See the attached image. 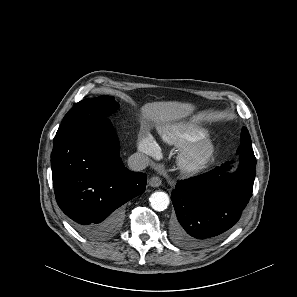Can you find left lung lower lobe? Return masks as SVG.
<instances>
[{
	"label": "left lung lower lobe",
	"mask_w": 297,
	"mask_h": 297,
	"mask_svg": "<svg viewBox=\"0 0 297 297\" xmlns=\"http://www.w3.org/2000/svg\"><path fill=\"white\" fill-rule=\"evenodd\" d=\"M234 174L225 162L213 170L179 181L171 200L178 222L172 240L186 248H201L218 241L238 223L250 197L256 176L254 154H239Z\"/></svg>",
	"instance_id": "0a47b994"
}]
</instances>
